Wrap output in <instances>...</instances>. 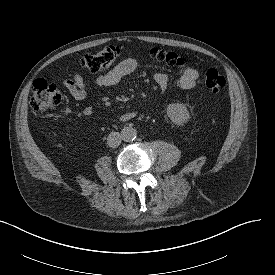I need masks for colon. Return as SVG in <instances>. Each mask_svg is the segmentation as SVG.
Wrapping results in <instances>:
<instances>
[{"mask_svg":"<svg viewBox=\"0 0 275 275\" xmlns=\"http://www.w3.org/2000/svg\"><path fill=\"white\" fill-rule=\"evenodd\" d=\"M149 55L156 60L173 67L185 65V59L175 53L158 47H152ZM121 50L117 45H108L93 54H86L81 58L82 65L96 73L112 66L120 57ZM226 84L225 77L216 69H209L205 76V85L212 93L220 92ZM62 100V93L57 86L45 79H36L32 86L30 107L33 112L41 114L50 107L58 105Z\"/></svg>","mask_w":275,"mask_h":275,"instance_id":"5ec220e1","label":"colon"}]
</instances>
